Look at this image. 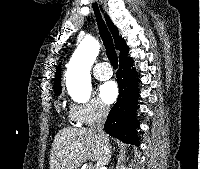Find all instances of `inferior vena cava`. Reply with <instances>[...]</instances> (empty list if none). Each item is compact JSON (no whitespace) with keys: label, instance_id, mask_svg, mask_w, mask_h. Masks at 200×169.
<instances>
[{"label":"inferior vena cava","instance_id":"obj_1","mask_svg":"<svg viewBox=\"0 0 200 169\" xmlns=\"http://www.w3.org/2000/svg\"><path fill=\"white\" fill-rule=\"evenodd\" d=\"M109 109L104 104H100L97 109L96 114V121L95 123L90 127L92 131L98 134L100 138H102L101 142V150L102 155L97 161V169H102L105 165L108 164L110 157H111V150L108 145V141L105 138V134L103 131V126L106 121L107 115H108Z\"/></svg>","mask_w":200,"mask_h":169}]
</instances>
